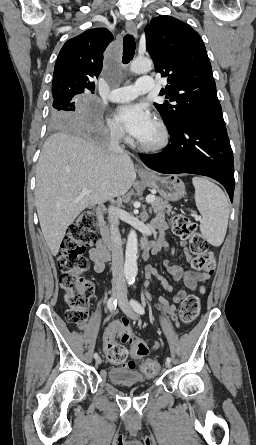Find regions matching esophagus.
<instances>
[{"label": "esophagus", "instance_id": "34e87169", "mask_svg": "<svg viewBox=\"0 0 256 445\" xmlns=\"http://www.w3.org/2000/svg\"><path fill=\"white\" fill-rule=\"evenodd\" d=\"M126 30L130 34H132L134 37H137V34H138L137 27H136V24L133 21L129 20V21L126 22ZM139 171L142 172V173H149L148 170H146L143 167H140Z\"/></svg>", "mask_w": 256, "mask_h": 445}]
</instances>
